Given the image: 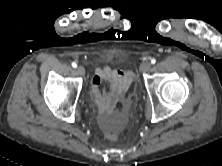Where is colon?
<instances>
[{"label": "colon", "mask_w": 222, "mask_h": 166, "mask_svg": "<svg viewBox=\"0 0 222 166\" xmlns=\"http://www.w3.org/2000/svg\"><path fill=\"white\" fill-rule=\"evenodd\" d=\"M107 137L111 140H115L117 138V135L113 132H108Z\"/></svg>", "instance_id": "1"}]
</instances>
